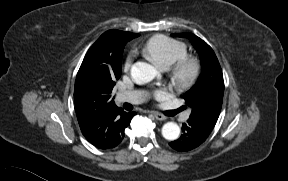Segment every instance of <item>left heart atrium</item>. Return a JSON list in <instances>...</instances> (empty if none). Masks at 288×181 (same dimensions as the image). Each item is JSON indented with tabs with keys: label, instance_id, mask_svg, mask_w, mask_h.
I'll list each match as a JSON object with an SVG mask.
<instances>
[{
	"label": "left heart atrium",
	"instance_id": "1",
	"mask_svg": "<svg viewBox=\"0 0 288 181\" xmlns=\"http://www.w3.org/2000/svg\"><path fill=\"white\" fill-rule=\"evenodd\" d=\"M154 96L158 99H163L167 96V92L165 89H157L154 91Z\"/></svg>",
	"mask_w": 288,
	"mask_h": 181
}]
</instances>
